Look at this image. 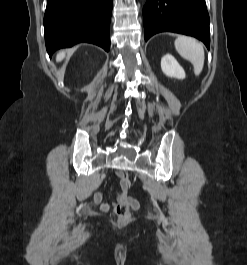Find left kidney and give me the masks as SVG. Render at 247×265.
Returning a JSON list of instances; mask_svg holds the SVG:
<instances>
[{"label":"left kidney","mask_w":247,"mask_h":265,"mask_svg":"<svg viewBox=\"0 0 247 265\" xmlns=\"http://www.w3.org/2000/svg\"><path fill=\"white\" fill-rule=\"evenodd\" d=\"M161 69L163 73L168 77H173L177 79L185 78L184 69L179 65L177 60L171 54H166L162 57Z\"/></svg>","instance_id":"1"}]
</instances>
